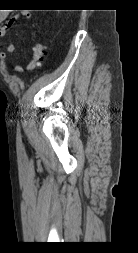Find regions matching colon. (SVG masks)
Listing matches in <instances>:
<instances>
[{
  "label": "colon",
  "instance_id": "5ec220e1",
  "mask_svg": "<svg viewBox=\"0 0 138 253\" xmlns=\"http://www.w3.org/2000/svg\"><path fill=\"white\" fill-rule=\"evenodd\" d=\"M44 53H45V47L40 43L36 44L33 47L31 60L27 68L29 70H33L39 67L43 61Z\"/></svg>",
  "mask_w": 138,
  "mask_h": 253
}]
</instances>
